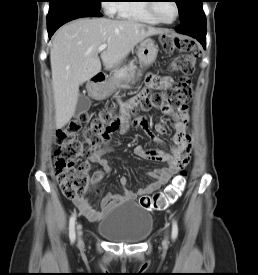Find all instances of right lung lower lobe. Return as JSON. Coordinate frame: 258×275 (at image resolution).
<instances>
[{
	"label": "right lung lower lobe",
	"instance_id": "1",
	"mask_svg": "<svg viewBox=\"0 0 258 275\" xmlns=\"http://www.w3.org/2000/svg\"><path fill=\"white\" fill-rule=\"evenodd\" d=\"M101 14L98 11L78 8V7H66L60 8L55 11L49 12L47 16V30L49 38L54 32L63 24L68 21L81 18V17H100Z\"/></svg>",
	"mask_w": 258,
	"mask_h": 275
}]
</instances>
